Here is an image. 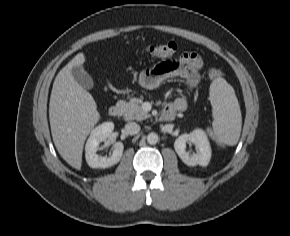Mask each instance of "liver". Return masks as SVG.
<instances>
[{"label": "liver", "instance_id": "1", "mask_svg": "<svg viewBox=\"0 0 290 236\" xmlns=\"http://www.w3.org/2000/svg\"><path fill=\"white\" fill-rule=\"evenodd\" d=\"M85 55L78 53L57 74L50 97L49 120L53 142L61 157L80 170L85 140L100 119L92 95L80 86L72 68L81 66Z\"/></svg>", "mask_w": 290, "mask_h": 236}]
</instances>
